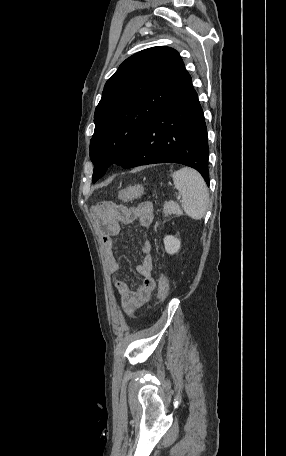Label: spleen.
Listing matches in <instances>:
<instances>
[{
	"label": "spleen",
	"mask_w": 286,
	"mask_h": 456,
	"mask_svg": "<svg viewBox=\"0 0 286 456\" xmlns=\"http://www.w3.org/2000/svg\"><path fill=\"white\" fill-rule=\"evenodd\" d=\"M175 188L182 195V206L189 217L200 220L204 217L208 202V188L203 177L194 169L184 167L172 173Z\"/></svg>",
	"instance_id": "spleen-1"
}]
</instances>
